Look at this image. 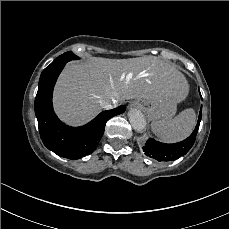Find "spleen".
Wrapping results in <instances>:
<instances>
[{"label":"spleen","instance_id":"3e777b00","mask_svg":"<svg viewBox=\"0 0 229 229\" xmlns=\"http://www.w3.org/2000/svg\"><path fill=\"white\" fill-rule=\"evenodd\" d=\"M195 124L193 109H185L170 120H154L152 130L160 139L168 142L181 140L189 135Z\"/></svg>","mask_w":229,"mask_h":229}]
</instances>
